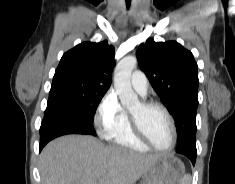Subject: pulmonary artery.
<instances>
[{"mask_svg": "<svg viewBox=\"0 0 235 184\" xmlns=\"http://www.w3.org/2000/svg\"><path fill=\"white\" fill-rule=\"evenodd\" d=\"M130 82L135 91H137L142 96L146 95L148 89V80L143 72L134 71L130 76Z\"/></svg>", "mask_w": 235, "mask_h": 184, "instance_id": "pulmonary-artery-1", "label": "pulmonary artery"}]
</instances>
